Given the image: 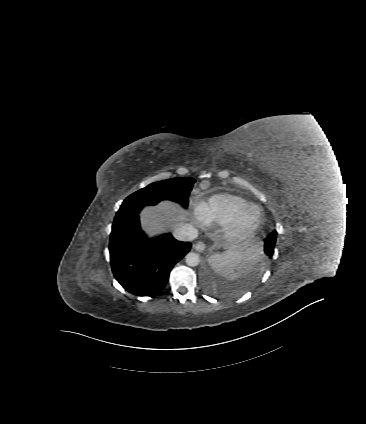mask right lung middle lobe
Here are the masks:
<instances>
[{
	"label": "right lung middle lobe",
	"instance_id": "obj_1",
	"mask_svg": "<svg viewBox=\"0 0 366 424\" xmlns=\"http://www.w3.org/2000/svg\"><path fill=\"white\" fill-rule=\"evenodd\" d=\"M194 182L193 178H172L152 183L128 196L119 210L155 205L161 200L180 202L187 207L188 196Z\"/></svg>",
	"mask_w": 366,
	"mask_h": 424
}]
</instances>
